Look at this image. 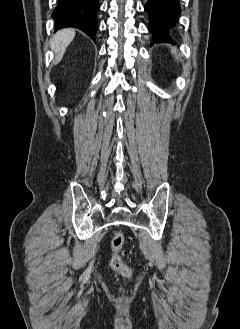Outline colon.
<instances>
[{
	"label": "colon",
	"instance_id": "colon-1",
	"mask_svg": "<svg viewBox=\"0 0 240 329\" xmlns=\"http://www.w3.org/2000/svg\"><path fill=\"white\" fill-rule=\"evenodd\" d=\"M124 235L122 232H116L111 240L112 255L110 257V266L113 270L119 272L124 277L131 275L130 268L124 263L122 248L124 245Z\"/></svg>",
	"mask_w": 240,
	"mask_h": 329
}]
</instances>
